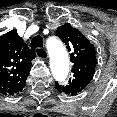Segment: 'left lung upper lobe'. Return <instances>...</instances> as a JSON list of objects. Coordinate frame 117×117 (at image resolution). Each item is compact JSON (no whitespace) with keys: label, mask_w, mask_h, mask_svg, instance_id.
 I'll use <instances>...</instances> for the list:
<instances>
[{"label":"left lung upper lobe","mask_w":117,"mask_h":117,"mask_svg":"<svg viewBox=\"0 0 117 117\" xmlns=\"http://www.w3.org/2000/svg\"><path fill=\"white\" fill-rule=\"evenodd\" d=\"M57 35L72 52L70 60L74 65L73 76L69 83L63 86L56 82L55 85L61 93L73 96L82 92L94 76L97 63L95 48L78 29L71 27L70 24L57 28Z\"/></svg>","instance_id":"1"}]
</instances>
